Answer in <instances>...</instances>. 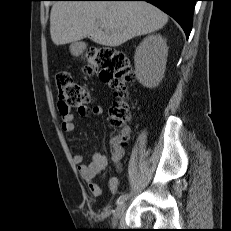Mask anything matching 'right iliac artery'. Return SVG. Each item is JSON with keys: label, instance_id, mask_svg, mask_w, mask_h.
<instances>
[{"label": "right iliac artery", "instance_id": "obj_1", "mask_svg": "<svg viewBox=\"0 0 231 231\" xmlns=\"http://www.w3.org/2000/svg\"><path fill=\"white\" fill-rule=\"evenodd\" d=\"M127 198H128V194H123L117 199L116 203L120 204V203L124 202Z\"/></svg>", "mask_w": 231, "mask_h": 231}]
</instances>
